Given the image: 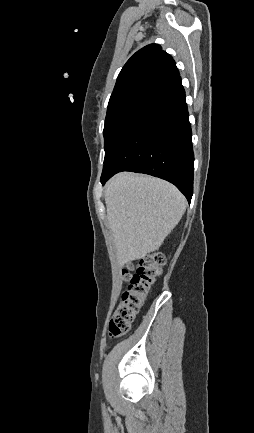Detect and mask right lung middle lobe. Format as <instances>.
Masks as SVG:
<instances>
[{
    "label": "right lung middle lobe",
    "instance_id": "right-lung-middle-lobe-1",
    "mask_svg": "<svg viewBox=\"0 0 254 433\" xmlns=\"http://www.w3.org/2000/svg\"><path fill=\"white\" fill-rule=\"evenodd\" d=\"M145 103V101H126L108 107L104 126V149L106 164L110 153L112 152L119 135L131 118V116Z\"/></svg>",
    "mask_w": 254,
    "mask_h": 433
}]
</instances>
